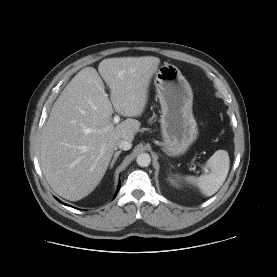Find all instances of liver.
Returning <instances> with one entry per match:
<instances>
[{
  "mask_svg": "<svg viewBox=\"0 0 277 277\" xmlns=\"http://www.w3.org/2000/svg\"><path fill=\"white\" fill-rule=\"evenodd\" d=\"M159 64L154 56L102 60L98 71L110 88V99L93 67L83 68L64 88L43 127L40 145L41 169L56 194L78 201L97 187L117 142H132L141 125L127 118L115 126L112 114L141 115Z\"/></svg>",
  "mask_w": 277,
  "mask_h": 277,
  "instance_id": "liver-1",
  "label": "liver"
}]
</instances>
